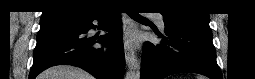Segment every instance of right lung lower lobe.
I'll return each mask as SVG.
<instances>
[{"mask_svg": "<svg viewBox=\"0 0 255 79\" xmlns=\"http://www.w3.org/2000/svg\"><path fill=\"white\" fill-rule=\"evenodd\" d=\"M107 12L74 18L61 24L41 27L33 53L34 62L29 79L58 64L83 68L97 79H121L125 68L120 19L116 18L104 29L106 36L89 37L87 32L96 28L93 20L105 26ZM95 43H102L99 48Z\"/></svg>", "mask_w": 255, "mask_h": 79, "instance_id": "1", "label": "right lung lower lobe"}]
</instances>
